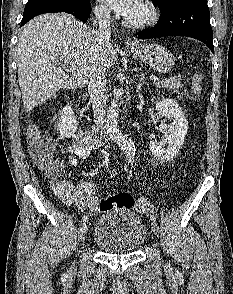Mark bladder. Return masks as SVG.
<instances>
[{"label":"bladder","mask_w":233,"mask_h":294,"mask_svg":"<svg viewBox=\"0 0 233 294\" xmlns=\"http://www.w3.org/2000/svg\"><path fill=\"white\" fill-rule=\"evenodd\" d=\"M147 230L142 219L127 208H113L97 220L93 242L110 253L137 251L145 242Z\"/></svg>","instance_id":"obj_1"}]
</instances>
